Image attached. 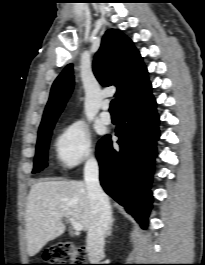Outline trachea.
Returning a JSON list of instances; mask_svg holds the SVG:
<instances>
[{
  "label": "trachea",
  "instance_id": "trachea-1",
  "mask_svg": "<svg viewBox=\"0 0 205 265\" xmlns=\"http://www.w3.org/2000/svg\"><path fill=\"white\" fill-rule=\"evenodd\" d=\"M110 112L111 113H117L118 112L117 102H116L115 99H113L111 101V104H110Z\"/></svg>",
  "mask_w": 205,
  "mask_h": 265
}]
</instances>
